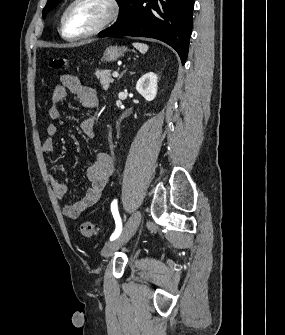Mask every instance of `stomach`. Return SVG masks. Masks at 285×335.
<instances>
[{"instance_id":"obj_1","label":"stomach","mask_w":285,"mask_h":335,"mask_svg":"<svg viewBox=\"0 0 285 335\" xmlns=\"http://www.w3.org/2000/svg\"><path fill=\"white\" fill-rule=\"evenodd\" d=\"M124 52H127V48H124V46L123 48H118V46H109L103 54V60L104 62H116L118 58L123 56Z\"/></svg>"}]
</instances>
